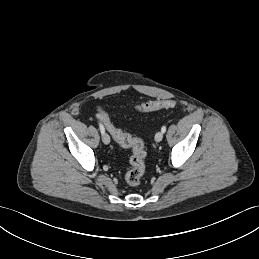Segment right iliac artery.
Instances as JSON below:
<instances>
[{
  "label": "right iliac artery",
  "instance_id": "obj_1",
  "mask_svg": "<svg viewBox=\"0 0 259 259\" xmlns=\"http://www.w3.org/2000/svg\"><path fill=\"white\" fill-rule=\"evenodd\" d=\"M99 129H100L101 134L105 133V129L101 123H99Z\"/></svg>",
  "mask_w": 259,
  "mask_h": 259
}]
</instances>
